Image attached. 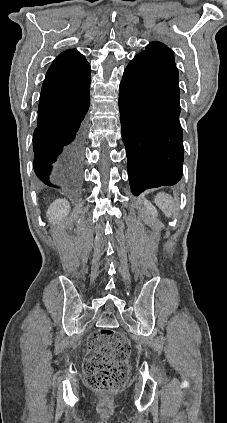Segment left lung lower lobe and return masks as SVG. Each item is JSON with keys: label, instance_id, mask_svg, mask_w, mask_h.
<instances>
[{"label": "left lung lower lobe", "instance_id": "0a47b994", "mask_svg": "<svg viewBox=\"0 0 227 423\" xmlns=\"http://www.w3.org/2000/svg\"><path fill=\"white\" fill-rule=\"evenodd\" d=\"M119 110L132 193L175 185L184 156L180 111L167 108L153 86L128 75L120 84Z\"/></svg>", "mask_w": 227, "mask_h": 423}]
</instances>
